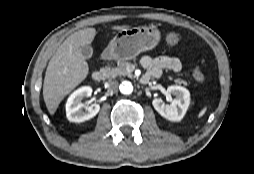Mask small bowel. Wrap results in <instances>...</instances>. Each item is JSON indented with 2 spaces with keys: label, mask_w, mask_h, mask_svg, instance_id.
Wrapping results in <instances>:
<instances>
[{
  "label": "small bowel",
  "mask_w": 254,
  "mask_h": 174,
  "mask_svg": "<svg viewBox=\"0 0 254 174\" xmlns=\"http://www.w3.org/2000/svg\"><path fill=\"white\" fill-rule=\"evenodd\" d=\"M141 64L146 69V73L143 75L142 79L147 77L157 78L165 69L175 72H179L182 69V63L180 60L169 56H160L153 58L146 55L142 57Z\"/></svg>",
  "instance_id": "1"
}]
</instances>
